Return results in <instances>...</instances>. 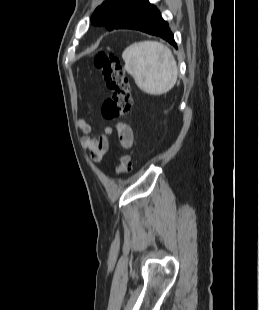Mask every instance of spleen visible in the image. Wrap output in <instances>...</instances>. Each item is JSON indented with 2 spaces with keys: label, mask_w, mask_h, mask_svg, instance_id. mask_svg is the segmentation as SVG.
I'll use <instances>...</instances> for the list:
<instances>
[{
  "label": "spleen",
  "mask_w": 259,
  "mask_h": 310,
  "mask_svg": "<svg viewBox=\"0 0 259 310\" xmlns=\"http://www.w3.org/2000/svg\"><path fill=\"white\" fill-rule=\"evenodd\" d=\"M122 58L124 69L136 85L150 95L171 90L178 76V67L171 50L157 41L135 42L128 46Z\"/></svg>",
  "instance_id": "1"
}]
</instances>
